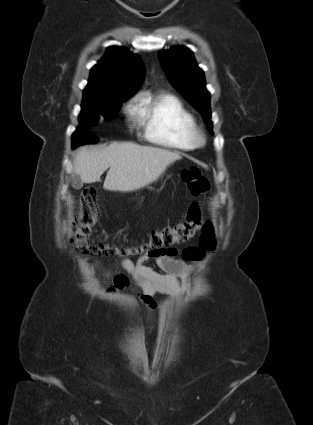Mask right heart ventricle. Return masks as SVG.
Wrapping results in <instances>:
<instances>
[{"label":"right heart ventricle","instance_id":"1","mask_svg":"<svg viewBox=\"0 0 313 425\" xmlns=\"http://www.w3.org/2000/svg\"><path fill=\"white\" fill-rule=\"evenodd\" d=\"M144 137L151 143L176 150L195 148L193 115L182 102L165 93H143L134 109Z\"/></svg>","mask_w":313,"mask_h":425}]
</instances>
